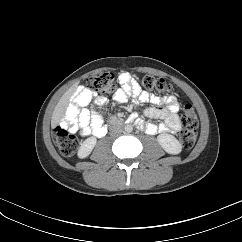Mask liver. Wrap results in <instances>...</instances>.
Here are the masks:
<instances>
[{
    "instance_id": "6515ba94",
    "label": "liver",
    "mask_w": 242,
    "mask_h": 242,
    "mask_svg": "<svg viewBox=\"0 0 242 242\" xmlns=\"http://www.w3.org/2000/svg\"><path fill=\"white\" fill-rule=\"evenodd\" d=\"M67 97L68 96H65V98H63V100H61L58 103V105L56 106V108L54 110V113L52 116V122H51L52 128H55L59 124V121L64 112V106L66 105Z\"/></svg>"
}]
</instances>
